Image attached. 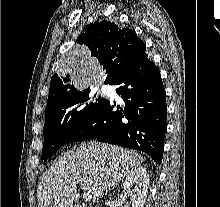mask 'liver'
I'll use <instances>...</instances> for the list:
<instances>
[{"label":"liver","instance_id":"liver-1","mask_svg":"<svg viewBox=\"0 0 220 207\" xmlns=\"http://www.w3.org/2000/svg\"><path fill=\"white\" fill-rule=\"evenodd\" d=\"M143 157L133 150L98 142L81 143L67 151L40 177L38 207H73L78 181L95 199L138 168Z\"/></svg>","mask_w":220,"mask_h":207}]
</instances>
